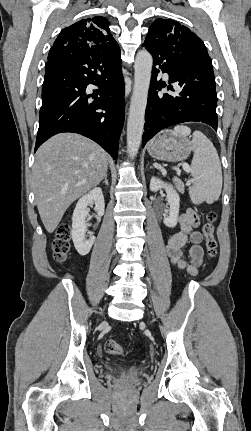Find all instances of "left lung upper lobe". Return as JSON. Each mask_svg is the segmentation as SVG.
<instances>
[{
	"mask_svg": "<svg viewBox=\"0 0 251 431\" xmlns=\"http://www.w3.org/2000/svg\"><path fill=\"white\" fill-rule=\"evenodd\" d=\"M146 41L160 44L169 51L185 52L199 61L211 64V59L202 40L189 28L174 20L156 19L149 27Z\"/></svg>",
	"mask_w": 251,
	"mask_h": 431,
	"instance_id": "1",
	"label": "left lung upper lobe"
}]
</instances>
